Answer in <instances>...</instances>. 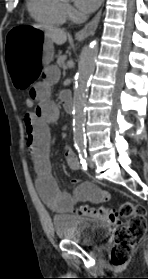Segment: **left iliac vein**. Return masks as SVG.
<instances>
[{"label":"left iliac vein","instance_id":"left-iliac-vein-1","mask_svg":"<svg viewBox=\"0 0 148 279\" xmlns=\"http://www.w3.org/2000/svg\"><path fill=\"white\" fill-rule=\"evenodd\" d=\"M87 164L90 168H94V161L91 157L87 159Z\"/></svg>","mask_w":148,"mask_h":279}]
</instances>
